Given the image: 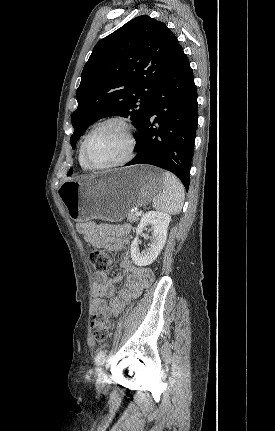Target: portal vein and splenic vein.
<instances>
[{
    "instance_id": "obj_1",
    "label": "portal vein and splenic vein",
    "mask_w": 275,
    "mask_h": 431,
    "mask_svg": "<svg viewBox=\"0 0 275 431\" xmlns=\"http://www.w3.org/2000/svg\"><path fill=\"white\" fill-rule=\"evenodd\" d=\"M135 215H137V216H141V215H142V210L137 211V212L135 213Z\"/></svg>"
}]
</instances>
